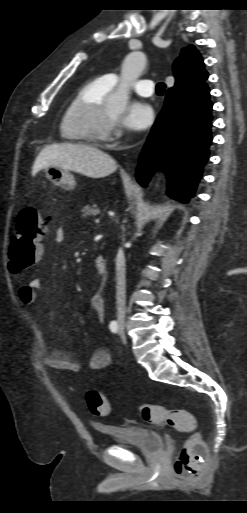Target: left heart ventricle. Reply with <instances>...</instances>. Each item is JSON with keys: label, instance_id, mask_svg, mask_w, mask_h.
Wrapping results in <instances>:
<instances>
[{"label": "left heart ventricle", "instance_id": "obj_1", "mask_svg": "<svg viewBox=\"0 0 247 513\" xmlns=\"http://www.w3.org/2000/svg\"><path fill=\"white\" fill-rule=\"evenodd\" d=\"M107 114L109 117H111L113 119L117 116V113L115 112V110L112 109L110 106H107Z\"/></svg>", "mask_w": 247, "mask_h": 513}]
</instances>
